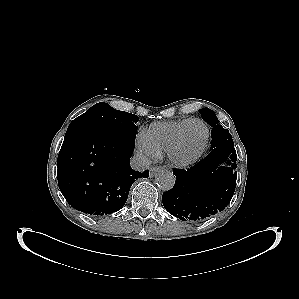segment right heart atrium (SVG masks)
I'll return each instance as SVG.
<instances>
[{"instance_id": "d8ad5b80", "label": "right heart atrium", "mask_w": 299, "mask_h": 299, "mask_svg": "<svg viewBox=\"0 0 299 299\" xmlns=\"http://www.w3.org/2000/svg\"><path fill=\"white\" fill-rule=\"evenodd\" d=\"M136 149L137 154L143 161H149L151 159L156 158L159 155L154 149H152L148 145V143L145 141L142 135L139 136L137 140Z\"/></svg>"}]
</instances>
